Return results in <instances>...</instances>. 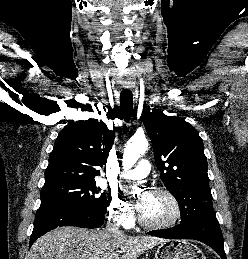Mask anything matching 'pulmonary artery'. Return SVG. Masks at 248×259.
I'll list each match as a JSON object with an SVG mask.
<instances>
[{
    "label": "pulmonary artery",
    "instance_id": "1",
    "mask_svg": "<svg viewBox=\"0 0 248 259\" xmlns=\"http://www.w3.org/2000/svg\"><path fill=\"white\" fill-rule=\"evenodd\" d=\"M151 170V165L148 160L143 159L138 166L131 170L121 172L120 176L125 179L138 180L146 177Z\"/></svg>",
    "mask_w": 248,
    "mask_h": 259
}]
</instances>
